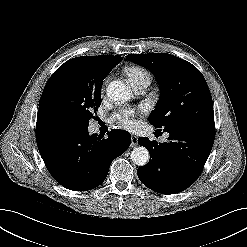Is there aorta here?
Returning a JSON list of instances; mask_svg holds the SVG:
<instances>
[{
	"mask_svg": "<svg viewBox=\"0 0 247 247\" xmlns=\"http://www.w3.org/2000/svg\"><path fill=\"white\" fill-rule=\"evenodd\" d=\"M107 96L117 102L124 103L131 98L130 88L121 81H112L106 88ZM150 158L148 150L143 147H135L131 152V160L138 166H144L148 163Z\"/></svg>",
	"mask_w": 247,
	"mask_h": 247,
	"instance_id": "762f6f07",
	"label": "aorta"
}]
</instances>
